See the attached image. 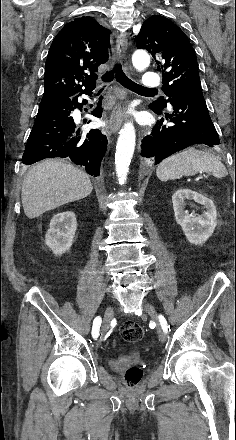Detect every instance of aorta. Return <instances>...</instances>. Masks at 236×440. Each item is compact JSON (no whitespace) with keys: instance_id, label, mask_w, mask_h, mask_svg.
<instances>
[{"instance_id":"aorta-1","label":"aorta","mask_w":236,"mask_h":440,"mask_svg":"<svg viewBox=\"0 0 236 440\" xmlns=\"http://www.w3.org/2000/svg\"><path fill=\"white\" fill-rule=\"evenodd\" d=\"M132 63L136 70L144 71L150 65V57L144 50H136L132 55ZM136 132L133 123L127 122L120 131L116 145L115 167L119 183L127 179L129 165L135 149Z\"/></svg>"}]
</instances>
